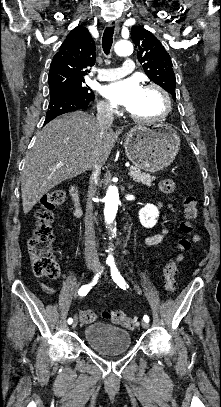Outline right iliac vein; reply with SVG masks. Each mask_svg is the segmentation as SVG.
<instances>
[{"mask_svg":"<svg viewBox=\"0 0 221 407\" xmlns=\"http://www.w3.org/2000/svg\"><path fill=\"white\" fill-rule=\"evenodd\" d=\"M87 269L89 270V271H97L98 269H97V267H95L94 265H92V264H88L87 265ZM77 319L76 318H74V320H73V322H72V328H75L76 326H77Z\"/></svg>","mask_w":221,"mask_h":407,"instance_id":"63e3f726","label":"right iliac vein"}]
</instances>
